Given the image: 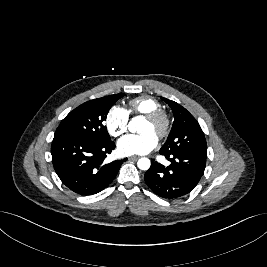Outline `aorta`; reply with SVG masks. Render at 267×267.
Returning <instances> with one entry per match:
<instances>
[{"label": "aorta", "mask_w": 267, "mask_h": 267, "mask_svg": "<svg viewBox=\"0 0 267 267\" xmlns=\"http://www.w3.org/2000/svg\"><path fill=\"white\" fill-rule=\"evenodd\" d=\"M140 119H141V117H134L130 121V123H129V130L131 132H135L136 127H137L138 122H139ZM150 165H151L150 160L148 158H145V157L140 158L138 160V162H137L138 168L141 169V170H144V171L148 170L150 168Z\"/></svg>", "instance_id": "762f6f07"}]
</instances>
